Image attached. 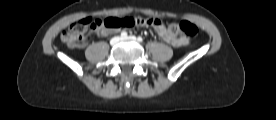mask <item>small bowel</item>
I'll return each mask as SVG.
<instances>
[{"mask_svg": "<svg viewBox=\"0 0 276 120\" xmlns=\"http://www.w3.org/2000/svg\"><path fill=\"white\" fill-rule=\"evenodd\" d=\"M154 29L156 30L157 34L168 44L174 46V47H181L186 45L187 40L184 37H180V36H174L172 34H170L166 27L164 26V24L162 23L161 20H158L157 23H155L153 25ZM100 33L102 35H107V31L106 30H101ZM85 46V42H83L82 44L79 45V47H83Z\"/></svg>", "mask_w": 276, "mask_h": 120, "instance_id": "obj_1", "label": "small bowel"}]
</instances>
